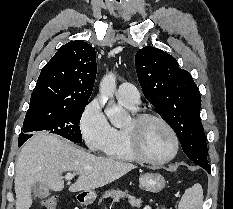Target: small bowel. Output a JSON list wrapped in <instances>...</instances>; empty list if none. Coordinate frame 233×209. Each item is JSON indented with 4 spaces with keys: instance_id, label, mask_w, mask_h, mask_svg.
<instances>
[{
    "instance_id": "obj_1",
    "label": "small bowel",
    "mask_w": 233,
    "mask_h": 209,
    "mask_svg": "<svg viewBox=\"0 0 233 209\" xmlns=\"http://www.w3.org/2000/svg\"><path fill=\"white\" fill-rule=\"evenodd\" d=\"M141 209H152V207L146 205V206L142 207Z\"/></svg>"
}]
</instances>
